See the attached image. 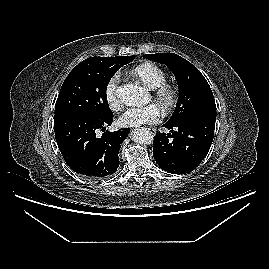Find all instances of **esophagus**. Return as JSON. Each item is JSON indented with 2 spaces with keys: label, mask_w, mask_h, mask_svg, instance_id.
Listing matches in <instances>:
<instances>
[{
  "label": "esophagus",
  "mask_w": 269,
  "mask_h": 269,
  "mask_svg": "<svg viewBox=\"0 0 269 269\" xmlns=\"http://www.w3.org/2000/svg\"><path fill=\"white\" fill-rule=\"evenodd\" d=\"M151 133H155V129L153 128H147Z\"/></svg>",
  "instance_id": "1"
}]
</instances>
